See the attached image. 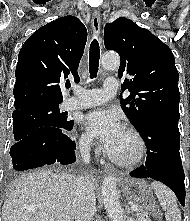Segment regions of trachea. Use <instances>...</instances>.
<instances>
[{"mask_svg":"<svg viewBox=\"0 0 190 221\" xmlns=\"http://www.w3.org/2000/svg\"><path fill=\"white\" fill-rule=\"evenodd\" d=\"M99 58H100L99 43L96 39H94L90 44V51H89V73L91 79L97 76L99 68ZM70 87L71 84H68L67 88Z\"/></svg>","mask_w":190,"mask_h":221,"instance_id":"3493384b","label":"trachea"}]
</instances>
